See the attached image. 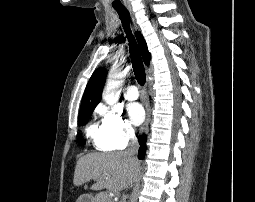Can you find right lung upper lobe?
Listing matches in <instances>:
<instances>
[{
  "label": "right lung upper lobe",
  "instance_id": "1",
  "mask_svg": "<svg viewBox=\"0 0 255 202\" xmlns=\"http://www.w3.org/2000/svg\"><path fill=\"white\" fill-rule=\"evenodd\" d=\"M135 35L139 44L143 60L148 65L151 56L147 50L146 42L139 32H137ZM105 79H106L105 68L101 67L94 71L86 86L82 98L81 109L95 108L97 106V104L101 100V93L105 84Z\"/></svg>",
  "mask_w": 255,
  "mask_h": 202
}]
</instances>
